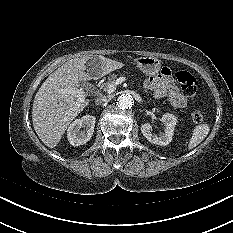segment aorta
<instances>
[{
  "label": "aorta",
  "mask_w": 233,
  "mask_h": 233,
  "mask_svg": "<svg viewBox=\"0 0 233 233\" xmlns=\"http://www.w3.org/2000/svg\"><path fill=\"white\" fill-rule=\"evenodd\" d=\"M133 104H134V99L129 94H123L117 100V105L122 110L131 108Z\"/></svg>",
  "instance_id": "762f6f07"
}]
</instances>
